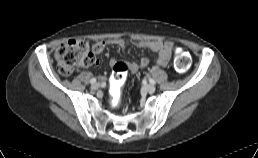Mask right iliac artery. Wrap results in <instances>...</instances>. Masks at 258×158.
<instances>
[{
  "label": "right iliac artery",
  "instance_id": "82829eb1",
  "mask_svg": "<svg viewBox=\"0 0 258 158\" xmlns=\"http://www.w3.org/2000/svg\"><path fill=\"white\" fill-rule=\"evenodd\" d=\"M96 82V78H92L91 80H90V83H92V84H94Z\"/></svg>",
  "mask_w": 258,
  "mask_h": 158
}]
</instances>
